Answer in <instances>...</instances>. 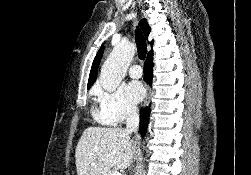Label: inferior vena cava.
<instances>
[{
	"label": "inferior vena cava",
	"instance_id": "1",
	"mask_svg": "<svg viewBox=\"0 0 251 175\" xmlns=\"http://www.w3.org/2000/svg\"><path fill=\"white\" fill-rule=\"evenodd\" d=\"M139 113L138 107L136 105H129L127 107V117H126V129L127 133H132V131H137L139 127Z\"/></svg>",
	"mask_w": 251,
	"mask_h": 175
}]
</instances>
